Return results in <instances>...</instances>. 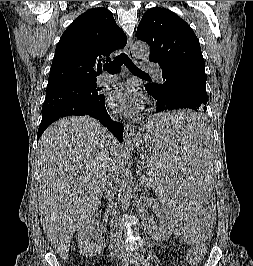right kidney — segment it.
I'll use <instances>...</instances> for the list:
<instances>
[{
    "label": "right kidney",
    "mask_w": 253,
    "mask_h": 266,
    "mask_svg": "<svg viewBox=\"0 0 253 266\" xmlns=\"http://www.w3.org/2000/svg\"><path fill=\"white\" fill-rule=\"evenodd\" d=\"M98 226L95 220H87L77 229L76 241L79 253L87 258L101 255L105 248L102 230Z\"/></svg>",
    "instance_id": "right-kidney-1"
}]
</instances>
